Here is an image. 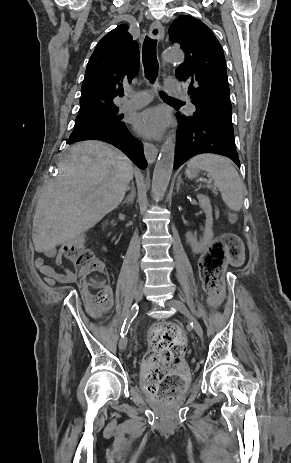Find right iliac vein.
Returning <instances> with one entry per match:
<instances>
[{
	"label": "right iliac vein",
	"mask_w": 291,
	"mask_h": 463,
	"mask_svg": "<svg viewBox=\"0 0 291 463\" xmlns=\"http://www.w3.org/2000/svg\"><path fill=\"white\" fill-rule=\"evenodd\" d=\"M141 285H142L141 281H138L136 283V285H135V288H134V300H135V302H139L141 300V298H142ZM126 347H127V338L123 337L119 341V348H120V350H125Z\"/></svg>",
	"instance_id": "obj_1"
}]
</instances>
